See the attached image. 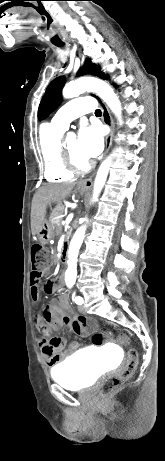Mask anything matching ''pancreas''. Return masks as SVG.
<instances>
[{"mask_svg":"<svg viewBox=\"0 0 165 461\" xmlns=\"http://www.w3.org/2000/svg\"><path fill=\"white\" fill-rule=\"evenodd\" d=\"M63 213H64V206L58 205L54 208L49 218V222L51 226L53 227V229H55L57 234L60 233L62 230V225H61L62 218H60V216Z\"/></svg>","mask_w":165,"mask_h":461,"instance_id":"cf45deb5","label":"pancreas"}]
</instances>
